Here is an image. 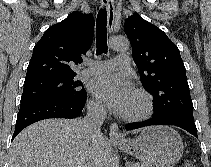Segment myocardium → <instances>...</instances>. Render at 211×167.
<instances>
[{"instance_id": "obj_1", "label": "myocardium", "mask_w": 211, "mask_h": 167, "mask_svg": "<svg viewBox=\"0 0 211 167\" xmlns=\"http://www.w3.org/2000/svg\"><path fill=\"white\" fill-rule=\"evenodd\" d=\"M133 96L140 100L141 110L135 114L123 113L121 117L129 122H138L147 119L153 112L154 103L152 96L143 89H136L133 92Z\"/></svg>"}]
</instances>
